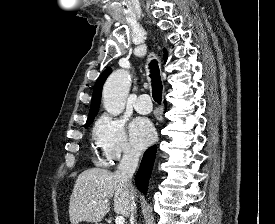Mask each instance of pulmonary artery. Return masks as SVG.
I'll list each match as a JSON object with an SVG mask.
<instances>
[{
	"mask_svg": "<svg viewBox=\"0 0 275 224\" xmlns=\"http://www.w3.org/2000/svg\"><path fill=\"white\" fill-rule=\"evenodd\" d=\"M134 108L136 109L137 112L141 114H148L152 110V102L147 94H142L137 97L135 103H134Z\"/></svg>",
	"mask_w": 275,
	"mask_h": 224,
	"instance_id": "1",
	"label": "pulmonary artery"
}]
</instances>
